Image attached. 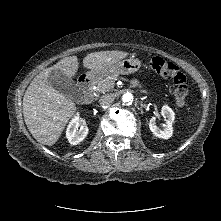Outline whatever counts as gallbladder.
I'll return each instance as SVG.
<instances>
[{"mask_svg": "<svg viewBox=\"0 0 221 221\" xmlns=\"http://www.w3.org/2000/svg\"><path fill=\"white\" fill-rule=\"evenodd\" d=\"M51 85L61 94L72 98L79 93L76 83L60 69H53L48 75Z\"/></svg>", "mask_w": 221, "mask_h": 221, "instance_id": "gallbladder-1", "label": "gallbladder"}]
</instances>
